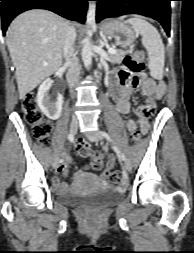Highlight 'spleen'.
<instances>
[{"label": "spleen", "instance_id": "obj_1", "mask_svg": "<svg viewBox=\"0 0 194 253\" xmlns=\"http://www.w3.org/2000/svg\"><path fill=\"white\" fill-rule=\"evenodd\" d=\"M122 16L120 19H124ZM132 28L142 36V45L145 47L149 58L150 75L154 79L163 78L165 49L157 29L146 20L135 17L127 20Z\"/></svg>", "mask_w": 194, "mask_h": 253}]
</instances>
